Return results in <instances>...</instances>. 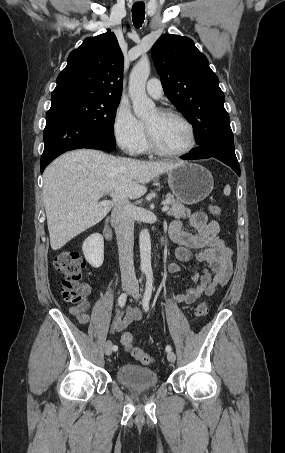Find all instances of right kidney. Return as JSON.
Instances as JSON below:
<instances>
[{"label": "right kidney", "instance_id": "right-kidney-1", "mask_svg": "<svg viewBox=\"0 0 285 453\" xmlns=\"http://www.w3.org/2000/svg\"><path fill=\"white\" fill-rule=\"evenodd\" d=\"M82 251L88 263L99 268L104 260V240L101 234L94 233L87 237L82 245Z\"/></svg>", "mask_w": 285, "mask_h": 453}]
</instances>
